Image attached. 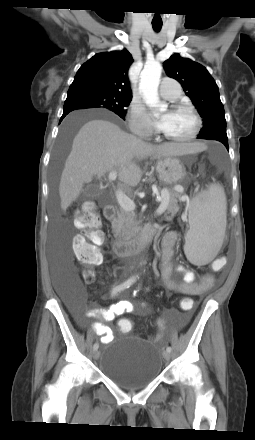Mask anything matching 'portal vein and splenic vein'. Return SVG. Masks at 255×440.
I'll use <instances>...</instances> for the list:
<instances>
[{
	"mask_svg": "<svg viewBox=\"0 0 255 440\" xmlns=\"http://www.w3.org/2000/svg\"><path fill=\"white\" fill-rule=\"evenodd\" d=\"M108 178L110 181L116 180V178H117L116 170H112L109 173ZM115 195H116V199L122 209H124L125 211L135 210L136 205H135L134 201L131 200L125 193H123L121 190H116ZM165 210H166V204H162L156 210V214L161 215Z\"/></svg>",
	"mask_w": 255,
	"mask_h": 440,
	"instance_id": "obj_1",
	"label": "portal vein and splenic vein"
}]
</instances>
